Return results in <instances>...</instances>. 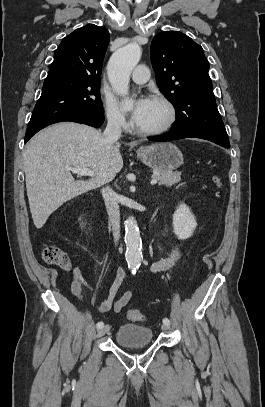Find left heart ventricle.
Segmentation results:
<instances>
[{
  "label": "left heart ventricle",
  "instance_id": "left-heart-ventricle-1",
  "mask_svg": "<svg viewBox=\"0 0 265 407\" xmlns=\"http://www.w3.org/2000/svg\"><path fill=\"white\" fill-rule=\"evenodd\" d=\"M167 118V110L161 103L150 99L142 118L136 122L140 129L150 130L160 127Z\"/></svg>",
  "mask_w": 265,
  "mask_h": 407
}]
</instances>
